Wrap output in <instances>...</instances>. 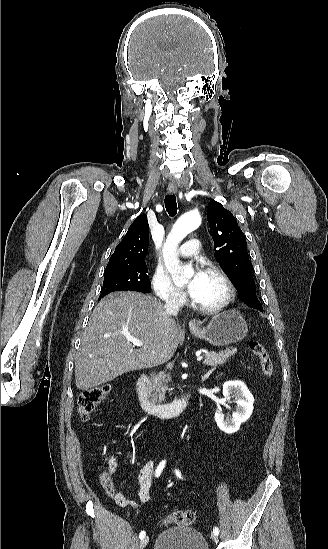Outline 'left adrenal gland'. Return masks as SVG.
I'll return each instance as SVG.
<instances>
[{
  "label": "left adrenal gland",
  "instance_id": "left-adrenal-gland-1",
  "mask_svg": "<svg viewBox=\"0 0 328 549\" xmlns=\"http://www.w3.org/2000/svg\"><path fill=\"white\" fill-rule=\"evenodd\" d=\"M210 375V371H208V373H206L205 377H209Z\"/></svg>",
  "mask_w": 328,
  "mask_h": 549
}]
</instances>
